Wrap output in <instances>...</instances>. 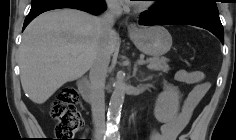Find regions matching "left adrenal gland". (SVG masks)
Listing matches in <instances>:
<instances>
[{"label": "left adrenal gland", "instance_id": "obj_1", "mask_svg": "<svg viewBox=\"0 0 236 140\" xmlns=\"http://www.w3.org/2000/svg\"><path fill=\"white\" fill-rule=\"evenodd\" d=\"M137 69V64H135L133 68V77H136Z\"/></svg>", "mask_w": 236, "mask_h": 140}]
</instances>
